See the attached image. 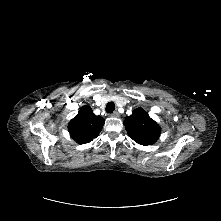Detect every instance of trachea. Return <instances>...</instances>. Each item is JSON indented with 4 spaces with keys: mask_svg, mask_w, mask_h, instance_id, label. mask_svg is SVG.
I'll return each instance as SVG.
<instances>
[{
    "mask_svg": "<svg viewBox=\"0 0 221 221\" xmlns=\"http://www.w3.org/2000/svg\"><path fill=\"white\" fill-rule=\"evenodd\" d=\"M114 109H115L114 102L107 103V105H106V112L107 113H112L114 111Z\"/></svg>",
    "mask_w": 221,
    "mask_h": 221,
    "instance_id": "3493384b",
    "label": "trachea"
}]
</instances>
